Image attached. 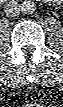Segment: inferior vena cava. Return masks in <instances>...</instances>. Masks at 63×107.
<instances>
[{
	"label": "inferior vena cava",
	"instance_id": "1",
	"mask_svg": "<svg viewBox=\"0 0 63 107\" xmlns=\"http://www.w3.org/2000/svg\"><path fill=\"white\" fill-rule=\"evenodd\" d=\"M21 7L16 1H9L4 7V13L7 17H15L20 13Z\"/></svg>",
	"mask_w": 63,
	"mask_h": 107
}]
</instances>
